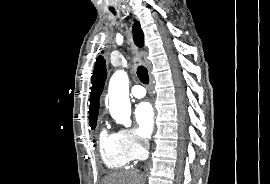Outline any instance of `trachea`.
I'll return each instance as SVG.
<instances>
[{"label":"trachea","instance_id":"obj_1","mask_svg":"<svg viewBox=\"0 0 270 184\" xmlns=\"http://www.w3.org/2000/svg\"><path fill=\"white\" fill-rule=\"evenodd\" d=\"M113 11V10H112ZM113 13H115L113 11ZM137 76L140 79V81L144 84H148L149 83V76H148V71L145 67L140 66L137 69Z\"/></svg>","mask_w":270,"mask_h":184}]
</instances>
